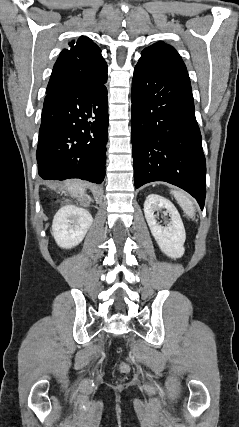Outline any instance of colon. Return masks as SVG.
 I'll use <instances>...</instances> for the list:
<instances>
[{"mask_svg":"<svg viewBox=\"0 0 239 427\" xmlns=\"http://www.w3.org/2000/svg\"><path fill=\"white\" fill-rule=\"evenodd\" d=\"M128 371H129V368H128V366L126 364H121L119 366V373L121 375H126L128 373Z\"/></svg>","mask_w":239,"mask_h":427,"instance_id":"obj_1","label":"colon"}]
</instances>
